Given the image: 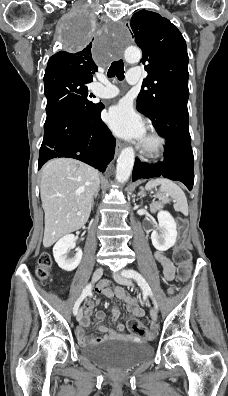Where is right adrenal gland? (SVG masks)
<instances>
[{
    "label": "right adrenal gland",
    "instance_id": "1",
    "mask_svg": "<svg viewBox=\"0 0 228 396\" xmlns=\"http://www.w3.org/2000/svg\"><path fill=\"white\" fill-rule=\"evenodd\" d=\"M99 190H100V187H99V189L96 191V193H95L94 196H93V199H92V208H93V206H94V198H96V197L98 196Z\"/></svg>",
    "mask_w": 228,
    "mask_h": 396
}]
</instances>
